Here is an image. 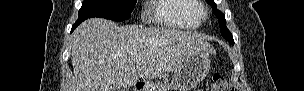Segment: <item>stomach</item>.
<instances>
[{"label":"stomach","instance_id":"stomach-1","mask_svg":"<svg viewBox=\"0 0 304 91\" xmlns=\"http://www.w3.org/2000/svg\"><path fill=\"white\" fill-rule=\"evenodd\" d=\"M210 63L208 51H194L176 69L168 88H147L145 91H191L207 76Z\"/></svg>","mask_w":304,"mask_h":91}]
</instances>
